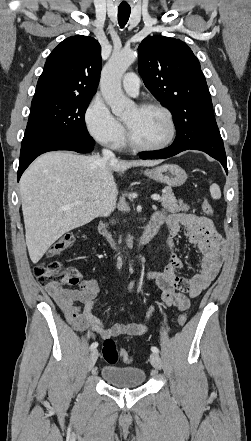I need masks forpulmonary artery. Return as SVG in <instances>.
<instances>
[{"instance_id": "1", "label": "pulmonary artery", "mask_w": 251, "mask_h": 441, "mask_svg": "<svg viewBox=\"0 0 251 441\" xmlns=\"http://www.w3.org/2000/svg\"><path fill=\"white\" fill-rule=\"evenodd\" d=\"M123 89L130 95L135 96L138 94L140 87V80L137 74L127 73L122 81Z\"/></svg>"}]
</instances>
